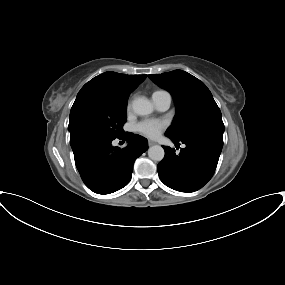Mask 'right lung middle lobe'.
Wrapping results in <instances>:
<instances>
[{
  "label": "right lung middle lobe",
  "mask_w": 285,
  "mask_h": 285,
  "mask_svg": "<svg viewBox=\"0 0 285 285\" xmlns=\"http://www.w3.org/2000/svg\"><path fill=\"white\" fill-rule=\"evenodd\" d=\"M127 103L85 98L71 108L70 144L90 137L115 139L124 134Z\"/></svg>",
  "instance_id": "dd1d6c3e"
}]
</instances>
